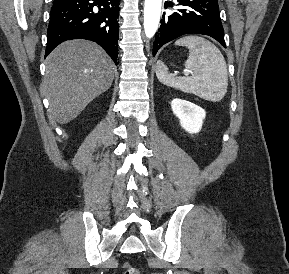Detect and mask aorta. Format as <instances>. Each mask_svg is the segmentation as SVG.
<instances>
[{"label":"aorta","instance_id":"obj_1","mask_svg":"<svg viewBox=\"0 0 289 274\" xmlns=\"http://www.w3.org/2000/svg\"><path fill=\"white\" fill-rule=\"evenodd\" d=\"M162 0H145L144 6V31L148 38L154 36L157 31Z\"/></svg>","mask_w":289,"mask_h":274}]
</instances>
